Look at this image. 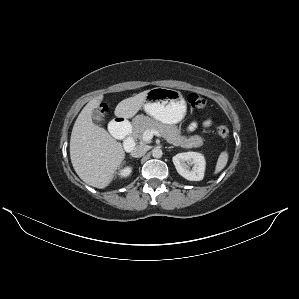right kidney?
Here are the masks:
<instances>
[{
	"label": "right kidney",
	"mask_w": 299,
	"mask_h": 299,
	"mask_svg": "<svg viewBox=\"0 0 299 299\" xmlns=\"http://www.w3.org/2000/svg\"><path fill=\"white\" fill-rule=\"evenodd\" d=\"M132 172V168L131 167H125L124 169H122L119 173V175L121 177H127L130 175V173Z\"/></svg>",
	"instance_id": "ca27d5eb"
}]
</instances>
